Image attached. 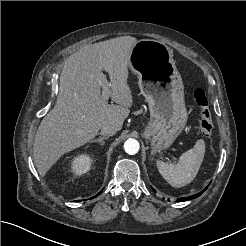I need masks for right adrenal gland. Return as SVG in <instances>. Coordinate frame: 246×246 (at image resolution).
Returning <instances> with one entry per match:
<instances>
[{"instance_id": "right-adrenal-gland-1", "label": "right adrenal gland", "mask_w": 246, "mask_h": 246, "mask_svg": "<svg viewBox=\"0 0 246 246\" xmlns=\"http://www.w3.org/2000/svg\"><path fill=\"white\" fill-rule=\"evenodd\" d=\"M109 137H103V136H100L96 139H93L91 140L90 142L91 143H94V142H99L102 146L105 144V141L104 140H107Z\"/></svg>"}]
</instances>
